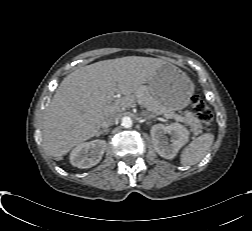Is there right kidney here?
Here are the masks:
<instances>
[{"label": "right kidney", "mask_w": 252, "mask_h": 231, "mask_svg": "<svg viewBox=\"0 0 252 231\" xmlns=\"http://www.w3.org/2000/svg\"><path fill=\"white\" fill-rule=\"evenodd\" d=\"M105 140H93L81 143L70 153V162L73 166L86 169L100 162L106 150Z\"/></svg>", "instance_id": "1"}]
</instances>
